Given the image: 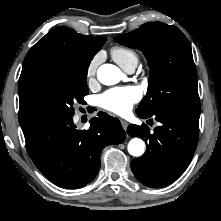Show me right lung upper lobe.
<instances>
[{"label":"right lung upper lobe","instance_id":"cb5924a9","mask_svg":"<svg viewBox=\"0 0 221 221\" xmlns=\"http://www.w3.org/2000/svg\"><path fill=\"white\" fill-rule=\"evenodd\" d=\"M105 37L84 36L59 26L41 38L27 53L19 78V99L36 82L80 56H92L105 43ZM22 114L19 109V119Z\"/></svg>","mask_w":221,"mask_h":221}]
</instances>
